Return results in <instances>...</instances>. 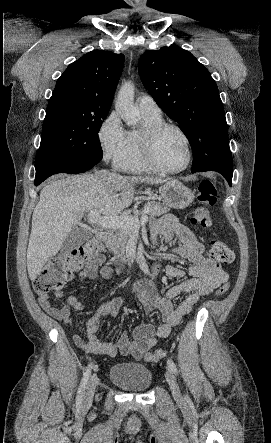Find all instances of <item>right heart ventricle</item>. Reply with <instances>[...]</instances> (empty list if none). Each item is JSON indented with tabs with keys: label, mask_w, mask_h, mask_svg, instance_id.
<instances>
[{
	"label": "right heart ventricle",
	"mask_w": 271,
	"mask_h": 443,
	"mask_svg": "<svg viewBox=\"0 0 271 443\" xmlns=\"http://www.w3.org/2000/svg\"><path fill=\"white\" fill-rule=\"evenodd\" d=\"M163 121L161 115H143V127L127 134V154L120 167L126 172L143 173L153 169L147 164L142 149V135L152 124Z\"/></svg>",
	"instance_id": "1"
}]
</instances>
